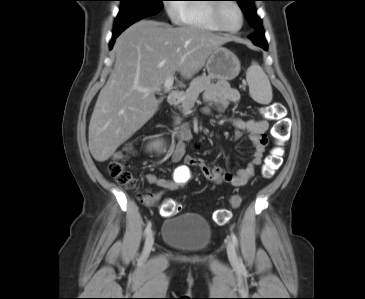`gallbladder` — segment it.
Returning a JSON list of instances; mask_svg holds the SVG:
<instances>
[{"label": "gallbladder", "mask_w": 365, "mask_h": 299, "mask_svg": "<svg viewBox=\"0 0 365 299\" xmlns=\"http://www.w3.org/2000/svg\"><path fill=\"white\" fill-rule=\"evenodd\" d=\"M163 98H160L159 101L162 102Z\"/></svg>", "instance_id": "1"}]
</instances>
